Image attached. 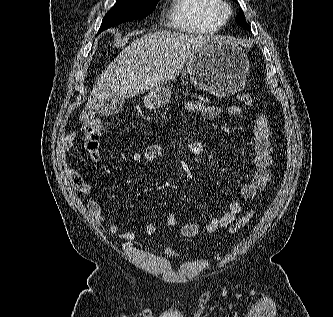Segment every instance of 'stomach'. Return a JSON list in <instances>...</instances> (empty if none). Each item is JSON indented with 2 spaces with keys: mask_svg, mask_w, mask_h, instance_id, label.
<instances>
[{
  "mask_svg": "<svg viewBox=\"0 0 333 317\" xmlns=\"http://www.w3.org/2000/svg\"><path fill=\"white\" fill-rule=\"evenodd\" d=\"M190 80L200 89L224 98L242 89L249 74V59L243 49L229 38H214L188 60ZM171 97L170 89L159 86L144 98L149 109L166 105Z\"/></svg>",
  "mask_w": 333,
  "mask_h": 317,
  "instance_id": "0dacf381",
  "label": "stomach"
}]
</instances>
